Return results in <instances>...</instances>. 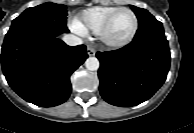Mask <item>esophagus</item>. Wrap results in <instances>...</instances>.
I'll return each instance as SVG.
<instances>
[{
	"instance_id": "esophagus-1",
	"label": "esophagus",
	"mask_w": 194,
	"mask_h": 133,
	"mask_svg": "<svg viewBox=\"0 0 194 133\" xmlns=\"http://www.w3.org/2000/svg\"><path fill=\"white\" fill-rule=\"evenodd\" d=\"M87 54H88L89 56H94V55H95L94 49L91 48V47H87Z\"/></svg>"
}]
</instances>
